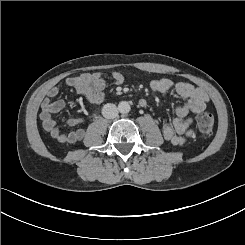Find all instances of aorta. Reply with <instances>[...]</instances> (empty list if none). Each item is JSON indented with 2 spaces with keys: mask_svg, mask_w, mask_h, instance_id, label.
<instances>
[{
  "mask_svg": "<svg viewBox=\"0 0 245 245\" xmlns=\"http://www.w3.org/2000/svg\"><path fill=\"white\" fill-rule=\"evenodd\" d=\"M118 110L122 114L129 113V111L131 110L130 104L127 101H121L118 104Z\"/></svg>",
  "mask_w": 245,
  "mask_h": 245,
  "instance_id": "aorta-1",
  "label": "aorta"
}]
</instances>
